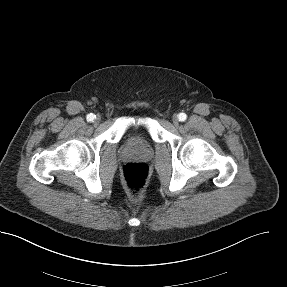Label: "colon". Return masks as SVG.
Masks as SVG:
<instances>
[{
  "label": "colon",
  "instance_id": "obj_1",
  "mask_svg": "<svg viewBox=\"0 0 287 287\" xmlns=\"http://www.w3.org/2000/svg\"><path fill=\"white\" fill-rule=\"evenodd\" d=\"M150 170L147 164L141 162H130L122 168V179L128 192L133 197H139L144 191Z\"/></svg>",
  "mask_w": 287,
  "mask_h": 287
}]
</instances>
